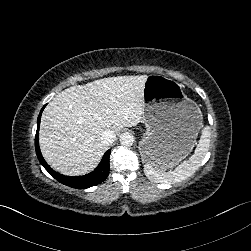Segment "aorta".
I'll return each mask as SVG.
<instances>
[{"instance_id": "aorta-1", "label": "aorta", "mask_w": 251, "mask_h": 251, "mask_svg": "<svg viewBox=\"0 0 251 251\" xmlns=\"http://www.w3.org/2000/svg\"><path fill=\"white\" fill-rule=\"evenodd\" d=\"M134 136L131 133L125 132L120 135V144L122 146H131L134 143Z\"/></svg>"}]
</instances>
